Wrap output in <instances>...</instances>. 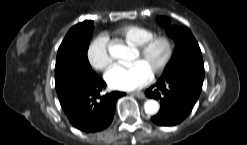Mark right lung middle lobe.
I'll return each instance as SVG.
<instances>
[{"instance_id": "1", "label": "right lung middle lobe", "mask_w": 247, "mask_h": 145, "mask_svg": "<svg viewBox=\"0 0 247 145\" xmlns=\"http://www.w3.org/2000/svg\"><path fill=\"white\" fill-rule=\"evenodd\" d=\"M94 28L93 21L85 25H75L62 41L56 59L55 83L59 84L75 76H94L87 59L89 40Z\"/></svg>"}]
</instances>
